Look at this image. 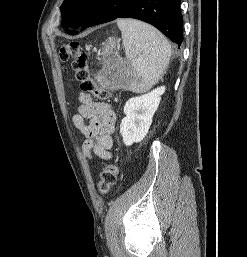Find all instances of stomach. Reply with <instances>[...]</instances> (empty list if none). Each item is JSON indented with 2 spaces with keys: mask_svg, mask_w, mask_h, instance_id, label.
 <instances>
[{
  "mask_svg": "<svg viewBox=\"0 0 247 257\" xmlns=\"http://www.w3.org/2000/svg\"><path fill=\"white\" fill-rule=\"evenodd\" d=\"M115 40L110 41V45L105 47L102 51L103 57H108L115 51ZM133 81V75L131 73V70L128 66L123 65L120 70V75L117 77L116 82L118 87L120 88H130Z\"/></svg>",
  "mask_w": 247,
  "mask_h": 257,
  "instance_id": "stomach-1",
  "label": "stomach"
}]
</instances>
